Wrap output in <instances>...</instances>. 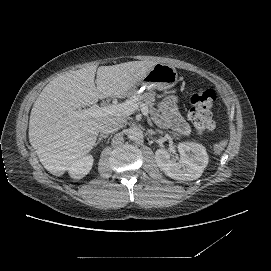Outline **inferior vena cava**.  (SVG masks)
I'll use <instances>...</instances> for the list:
<instances>
[{
  "instance_id": "obj_1",
  "label": "inferior vena cava",
  "mask_w": 271,
  "mask_h": 271,
  "mask_svg": "<svg viewBox=\"0 0 271 271\" xmlns=\"http://www.w3.org/2000/svg\"><path fill=\"white\" fill-rule=\"evenodd\" d=\"M124 121L123 120H111V121H105L103 123H100L98 126V130L101 134H110L114 131H117L118 129L123 127Z\"/></svg>"
}]
</instances>
